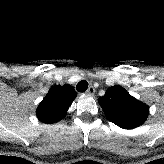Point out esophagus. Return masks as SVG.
I'll return each instance as SVG.
<instances>
[{"instance_id": "1", "label": "esophagus", "mask_w": 164, "mask_h": 164, "mask_svg": "<svg viewBox=\"0 0 164 164\" xmlns=\"http://www.w3.org/2000/svg\"><path fill=\"white\" fill-rule=\"evenodd\" d=\"M95 93V88L93 86H90L88 89H87V94L89 95H93Z\"/></svg>"}]
</instances>
